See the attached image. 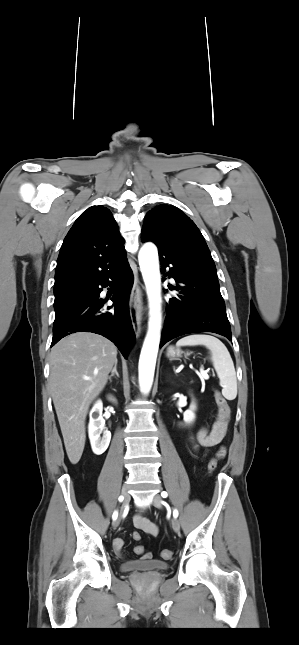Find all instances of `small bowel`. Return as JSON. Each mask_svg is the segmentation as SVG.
<instances>
[{"label":"small bowel","instance_id":"c3829d8e","mask_svg":"<svg viewBox=\"0 0 299 645\" xmlns=\"http://www.w3.org/2000/svg\"><path fill=\"white\" fill-rule=\"evenodd\" d=\"M225 433H226V428L222 425L220 415L218 414L216 421L213 423L211 428L203 427L198 431L195 440H193V448L197 449L199 446L207 449L212 448L218 445L222 441L223 437L225 436ZM224 454H225V449L221 448L220 455L223 456ZM134 525L138 530L146 534L155 536L158 533L157 526L152 521H150L145 517H142L141 515H138V514L135 515ZM123 546H124V540L121 537H117L113 540V548L116 554L121 558L123 557V554H122ZM150 558H151L150 553H146L142 557L143 560H147Z\"/></svg>","mask_w":299,"mask_h":645}]
</instances>
